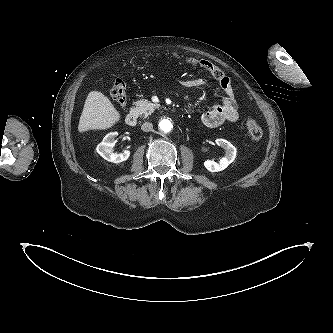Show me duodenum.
<instances>
[{
    "label": "duodenum",
    "mask_w": 333,
    "mask_h": 333,
    "mask_svg": "<svg viewBox=\"0 0 333 333\" xmlns=\"http://www.w3.org/2000/svg\"><path fill=\"white\" fill-rule=\"evenodd\" d=\"M137 118H138V117H137L136 112H135V111H130V112L127 114L126 118H125V122H126V124H127L128 126L133 127V126H135L136 123H137Z\"/></svg>",
    "instance_id": "duodenum-1"
}]
</instances>
